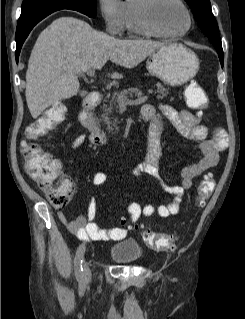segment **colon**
<instances>
[{
	"instance_id": "colon-1",
	"label": "colon",
	"mask_w": 245,
	"mask_h": 319,
	"mask_svg": "<svg viewBox=\"0 0 245 319\" xmlns=\"http://www.w3.org/2000/svg\"><path fill=\"white\" fill-rule=\"evenodd\" d=\"M185 99L188 107L203 111L209 106V99L204 89L196 83H189L185 88ZM66 117L62 106L49 108L41 117L35 120L26 131V140L21 144L24 157V168L36 186L45 193L50 204L56 208L65 207L74 194L72 178L62 171L60 161L51 154L43 151L35 140L61 124ZM214 178L206 174L198 187L199 206L214 189ZM145 243L154 249L174 250L176 248L172 235L154 232L144 224L135 226Z\"/></svg>"
}]
</instances>
